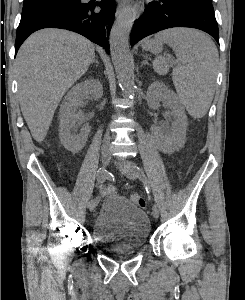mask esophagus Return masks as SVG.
I'll return each mask as SVG.
<instances>
[{"instance_id": "34e87169", "label": "esophagus", "mask_w": 245, "mask_h": 300, "mask_svg": "<svg viewBox=\"0 0 245 300\" xmlns=\"http://www.w3.org/2000/svg\"><path fill=\"white\" fill-rule=\"evenodd\" d=\"M127 0H123L117 7L116 16H118L126 7H127Z\"/></svg>"}]
</instances>
